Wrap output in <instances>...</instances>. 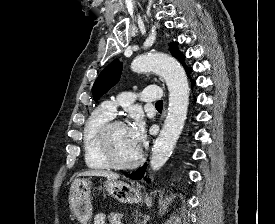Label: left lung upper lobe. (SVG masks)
Wrapping results in <instances>:
<instances>
[{
	"label": "left lung upper lobe",
	"mask_w": 275,
	"mask_h": 224,
	"mask_svg": "<svg viewBox=\"0 0 275 224\" xmlns=\"http://www.w3.org/2000/svg\"><path fill=\"white\" fill-rule=\"evenodd\" d=\"M177 43L173 42L169 45V50L174 57L179 59L184 66L186 72L191 68L187 67L184 63L185 56L180 53L176 46ZM122 71V63L119 59L113 60L103 71L100 73L93 85V99L98 100L103 94L111 89L119 80Z\"/></svg>",
	"instance_id": "obj_1"
}]
</instances>
